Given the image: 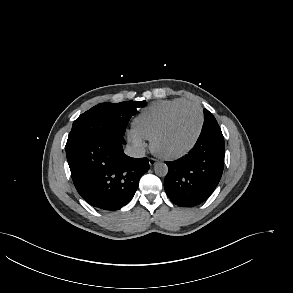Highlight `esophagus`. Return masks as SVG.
<instances>
[{"mask_svg":"<svg viewBox=\"0 0 293 293\" xmlns=\"http://www.w3.org/2000/svg\"><path fill=\"white\" fill-rule=\"evenodd\" d=\"M157 163H158V160H156L155 158H149V165L150 166H154Z\"/></svg>","mask_w":293,"mask_h":293,"instance_id":"esophagus-1","label":"esophagus"}]
</instances>
